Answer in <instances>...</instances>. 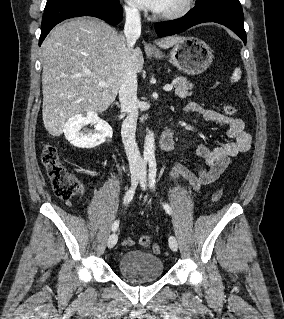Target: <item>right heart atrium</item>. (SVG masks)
Masks as SVG:
<instances>
[{
	"label": "right heart atrium",
	"instance_id": "1",
	"mask_svg": "<svg viewBox=\"0 0 284 319\" xmlns=\"http://www.w3.org/2000/svg\"><path fill=\"white\" fill-rule=\"evenodd\" d=\"M124 10H125L126 16L129 19H138L139 18V11L135 6H133L131 4H125Z\"/></svg>",
	"mask_w": 284,
	"mask_h": 319
}]
</instances>
